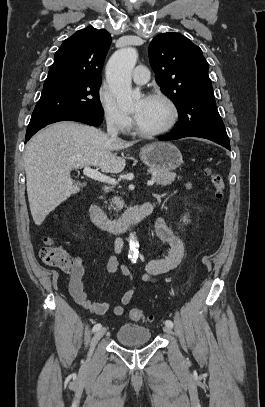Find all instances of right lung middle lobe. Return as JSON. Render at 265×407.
<instances>
[{
  "label": "right lung middle lobe",
  "instance_id": "dd1d6c3e",
  "mask_svg": "<svg viewBox=\"0 0 265 407\" xmlns=\"http://www.w3.org/2000/svg\"><path fill=\"white\" fill-rule=\"evenodd\" d=\"M101 80L69 75L47 77L40 100L32 113L27 133L75 114L103 116L99 99Z\"/></svg>",
  "mask_w": 265,
  "mask_h": 407
}]
</instances>
